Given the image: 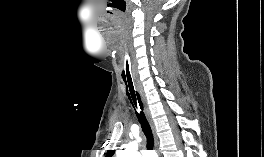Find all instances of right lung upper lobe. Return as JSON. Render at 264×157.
<instances>
[{"instance_id": "1", "label": "right lung upper lobe", "mask_w": 264, "mask_h": 157, "mask_svg": "<svg viewBox=\"0 0 264 157\" xmlns=\"http://www.w3.org/2000/svg\"><path fill=\"white\" fill-rule=\"evenodd\" d=\"M113 154H114V151L108 150L106 157H112Z\"/></svg>"}]
</instances>
